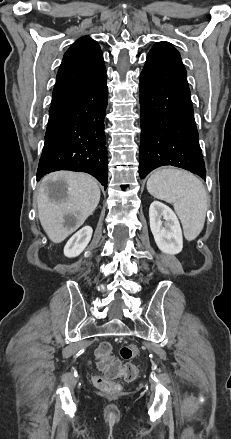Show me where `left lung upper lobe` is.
<instances>
[{
    "instance_id": "obj_1",
    "label": "left lung upper lobe",
    "mask_w": 231,
    "mask_h": 439,
    "mask_svg": "<svg viewBox=\"0 0 231 439\" xmlns=\"http://www.w3.org/2000/svg\"><path fill=\"white\" fill-rule=\"evenodd\" d=\"M154 46L162 47V48H165V49L171 51L179 60H181L179 52L170 43L159 42V43H156Z\"/></svg>"
}]
</instances>
